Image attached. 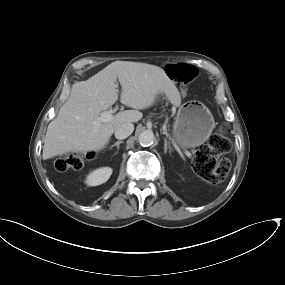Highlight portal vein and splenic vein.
<instances>
[{
  "label": "portal vein and splenic vein",
  "instance_id": "18ae733b",
  "mask_svg": "<svg viewBox=\"0 0 285 285\" xmlns=\"http://www.w3.org/2000/svg\"><path fill=\"white\" fill-rule=\"evenodd\" d=\"M116 112V109H113V110H110V111H105V112H102L100 114V116L97 117V121L99 122H110L113 120V113ZM185 154L187 157L191 158L192 157V154L185 150Z\"/></svg>",
  "mask_w": 285,
  "mask_h": 285
}]
</instances>
